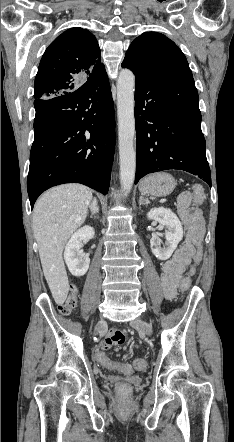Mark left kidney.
I'll return each mask as SVG.
<instances>
[{
    "mask_svg": "<svg viewBox=\"0 0 234 442\" xmlns=\"http://www.w3.org/2000/svg\"><path fill=\"white\" fill-rule=\"evenodd\" d=\"M147 217L149 220H155L165 227V245L161 247V241L157 236L150 240L152 253L159 260H167L171 257L178 243L183 238L182 224L176 214L170 209L159 207L152 208Z\"/></svg>",
    "mask_w": 234,
    "mask_h": 442,
    "instance_id": "1",
    "label": "left kidney"
}]
</instances>
